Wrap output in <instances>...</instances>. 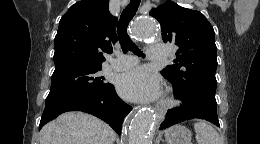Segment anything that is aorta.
I'll list each match as a JSON object with an SVG mask.
<instances>
[{
  "mask_svg": "<svg viewBox=\"0 0 260 144\" xmlns=\"http://www.w3.org/2000/svg\"><path fill=\"white\" fill-rule=\"evenodd\" d=\"M132 32L137 41H144L156 36V23L152 18L136 20ZM154 115L148 109L135 113L127 123L128 144H152Z\"/></svg>",
  "mask_w": 260,
  "mask_h": 144,
  "instance_id": "762f6f07",
  "label": "aorta"
}]
</instances>
